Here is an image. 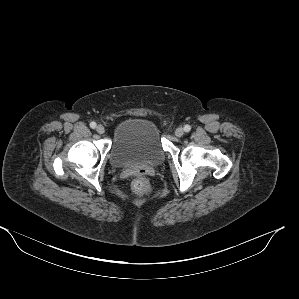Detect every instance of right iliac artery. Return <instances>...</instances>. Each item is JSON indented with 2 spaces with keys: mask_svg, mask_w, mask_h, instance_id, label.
<instances>
[{
  "mask_svg": "<svg viewBox=\"0 0 299 299\" xmlns=\"http://www.w3.org/2000/svg\"><path fill=\"white\" fill-rule=\"evenodd\" d=\"M90 127H91L92 129H94V128L96 127V123H95V122H91V123H90Z\"/></svg>",
  "mask_w": 299,
  "mask_h": 299,
  "instance_id": "82829eb1",
  "label": "right iliac artery"
}]
</instances>
